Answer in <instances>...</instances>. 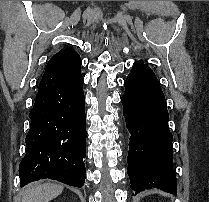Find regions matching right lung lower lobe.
<instances>
[{
	"label": "right lung lower lobe",
	"instance_id": "1",
	"mask_svg": "<svg viewBox=\"0 0 209 202\" xmlns=\"http://www.w3.org/2000/svg\"><path fill=\"white\" fill-rule=\"evenodd\" d=\"M68 57H52L29 114L26 155L19 166L20 186L44 178L82 187L86 169L84 79L69 75Z\"/></svg>",
	"mask_w": 209,
	"mask_h": 202
}]
</instances>
